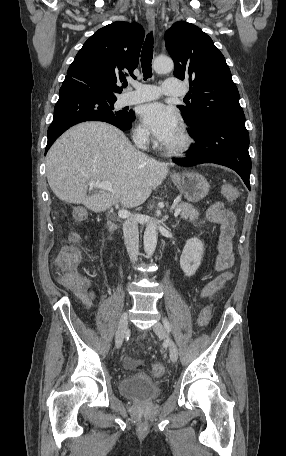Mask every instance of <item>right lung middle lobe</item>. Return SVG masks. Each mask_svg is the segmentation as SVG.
I'll list each match as a JSON object with an SVG mask.
<instances>
[{"label":"right lung middle lobe","instance_id":"1","mask_svg":"<svg viewBox=\"0 0 286 456\" xmlns=\"http://www.w3.org/2000/svg\"><path fill=\"white\" fill-rule=\"evenodd\" d=\"M115 100H108L105 106V109L103 110V113L113 119H119V118H125L131 114L130 111H115L114 110V103Z\"/></svg>","mask_w":286,"mask_h":456}]
</instances>
